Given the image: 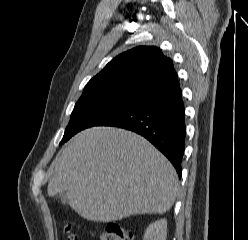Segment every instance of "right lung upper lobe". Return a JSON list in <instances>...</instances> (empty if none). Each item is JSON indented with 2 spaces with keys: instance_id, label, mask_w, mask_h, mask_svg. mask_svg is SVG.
<instances>
[{
  "instance_id": "1",
  "label": "right lung upper lobe",
  "mask_w": 248,
  "mask_h": 240,
  "mask_svg": "<svg viewBox=\"0 0 248 240\" xmlns=\"http://www.w3.org/2000/svg\"><path fill=\"white\" fill-rule=\"evenodd\" d=\"M179 86L170 58L154 46H139L112 59L84 90L109 89L138 99Z\"/></svg>"
}]
</instances>
